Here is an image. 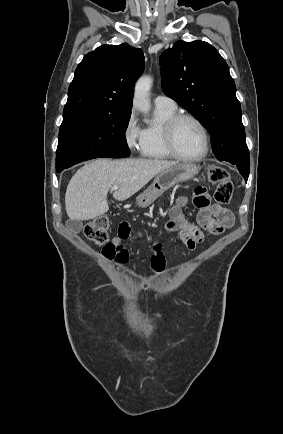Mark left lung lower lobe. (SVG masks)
I'll use <instances>...</instances> for the list:
<instances>
[{"label": "left lung lower lobe", "mask_w": 283, "mask_h": 434, "mask_svg": "<svg viewBox=\"0 0 283 434\" xmlns=\"http://www.w3.org/2000/svg\"><path fill=\"white\" fill-rule=\"evenodd\" d=\"M238 167V170L240 171L241 175L244 177L245 181L247 182L248 176H249V167L248 164H241L237 163L235 164Z\"/></svg>", "instance_id": "0a47b994"}]
</instances>
